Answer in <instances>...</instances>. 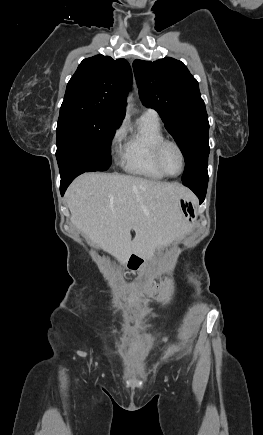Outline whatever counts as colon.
Returning a JSON list of instances; mask_svg holds the SVG:
<instances>
[{"mask_svg":"<svg viewBox=\"0 0 263 435\" xmlns=\"http://www.w3.org/2000/svg\"><path fill=\"white\" fill-rule=\"evenodd\" d=\"M154 289V287L153 286H150L149 288H148V291H152Z\"/></svg>","mask_w":263,"mask_h":435,"instance_id":"5ec220e1","label":"colon"}]
</instances>
